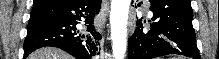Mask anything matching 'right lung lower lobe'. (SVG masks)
I'll use <instances>...</instances> for the list:
<instances>
[{"mask_svg": "<svg viewBox=\"0 0 219 59\" xmlns=\"http://www.w3.org/2000/svg\"><path fill=\"white\" fill-rule=\"evenodd\" d=\"M101 7V0H53L33 6L31 16L42 14L47 20L27 27L24 58L34 50L52 46L63 49L76 59H91L98 51L100 36L93 21ZM85 22L86 28L76 26Z\"/></svg>", "mask_w": 219, "mask_h": 59, "instance_id": "1", "label": "right lung lower lobe"}]
</instances>
